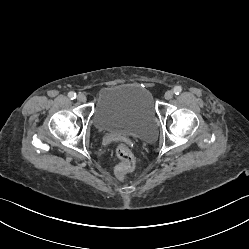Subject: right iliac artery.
Returning a JSON list of instances; mask_svg holds the SVG:
<instances>
[{
	"instance_id": "1",
	"label": "right iliac artery",
	"mask_w": 249,
	"mask_h": 249,
	"mask_svg": "<svg viewBox=\"0 0 249 249\" xmlns=\"http://www.w3.org/2000/svg\"><path fill=\"white\" fill-rule=\"evenodd\" d=\"M68 97H69L71 100H73V99L76 98V93H74V92H69V93H68Z\"/></svg>"
}]
</instances>
